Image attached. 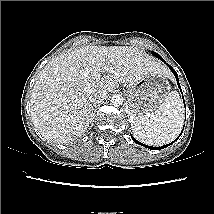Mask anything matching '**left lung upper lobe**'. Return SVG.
Masks as SVG:
<instances>
[{
	"mask_svg": "<svg viewBox=\"0 0 214 214\" xmlns=\"http://www.w3.org/2000/svg\"><path fill=\"white\" fill-rule=\"evenodd\" d=\"M152 54H153L155 57H157L158 59H161V56H160L159 54H157V53H155V52H152Z\"/></svg>",
	"mask_w": 214,
	"mask_h": 214,
	"instance_id": "5c2ea615",
	"label": "left lung upper lobe"
}]
</instances>
